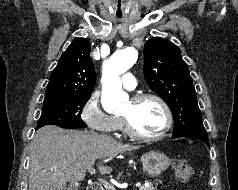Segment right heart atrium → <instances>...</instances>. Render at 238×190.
Returning a JSON list of instances; mask_svg holds the SVG:
<instances>
[{"label":"right heart atrium","mask_w":238,"mask_h":190,"mask_svg":"<svg viewBox=\"0 0 238 190\" xmlns=\"http://www.w3.org/2000/svg\"><path fill=\"white\" fill-rule=\"evenodd\" d=\"M81 119L94 131L111 133L116 130V117L103 111L99 101V93L93 92L82 106Z\"/></svg>","instance_id":"1"}]
</instances>
